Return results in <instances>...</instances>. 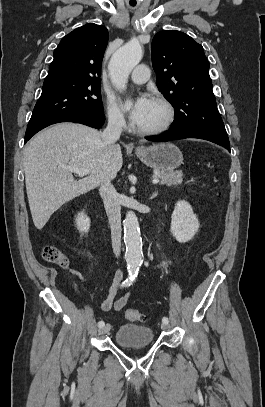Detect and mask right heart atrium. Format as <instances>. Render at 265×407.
<instances>
[{
  "label": "right heart atrium",
  "mask_w": 265,
  "mask_h": 407,
  "mask_svg": "<svg viewBox=\"0 0 265 407\" xmlns=\"http://www.w3.org/2000/svg\"><path fill=\"white\" fill-rule=\"evenodd\" d=\"M105 112L107 121L112 127L117 129H125L127 127V121L124 113L110 98L106 99Z\"/></svg>",
  "instance_id": "right-heart-atrium-1"
}]
</instances>
